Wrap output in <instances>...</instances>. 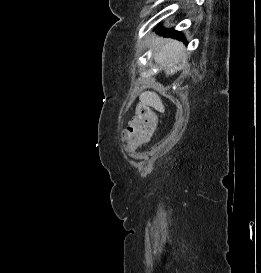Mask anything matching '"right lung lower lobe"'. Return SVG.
Instances as JSON below:
<instances>
[{"label": "right lung lower lobe", "instance_id": "98d812e1", "mask_svg": "<svg viewBox=\"0 0 261 273\" xmlns=\"http://www.w3.org/2000/svg\"><path fill=\"white\" fill-rule=\"evenodd\" d=\"M165 34L170 36V37H174V38L184 40L183 34L181 32H178V31L168 30V31L165 32Z\"/></svg>", "mask_w": 261, "mask_h": 273}]
</instances>
